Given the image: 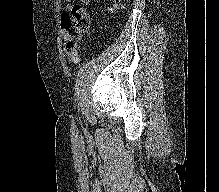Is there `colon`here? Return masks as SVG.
<instances>
[{
  "instance_id": "1",
  "label": "colon",
  "mask_w": 219,
  "mask_h": 192,
  "mask_svg": "<svg viewBox=\"0 0 219 192\" xmlns=\"http://www.w3.org/2000/svg\"><path fill=\"white\" fill-rule=\"evenodd\" d=\"M123 6L122 0H113L106 12L114 14ZM61 36L64 40V50L72 62L77 60V43L89 30L90 19L88 11L79 4L72 5L61 15Z\"/></svg>"
}]
</instances>
